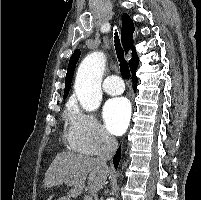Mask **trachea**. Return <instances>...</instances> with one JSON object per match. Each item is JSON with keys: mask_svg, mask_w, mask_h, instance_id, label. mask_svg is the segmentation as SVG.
<instances>
[{"mask_svg": "<svg viewBox=\"0 0 201 200\" xmlns=\"http://www.w3.org/2000/svg\"><path fill=\"white\" fill-rule=\"evenodd\" d=\"M114 38H115L114 42H115L116 54H117V57L119 60L120 72L124 78L129 79L130 78V70L124 59V51L121 47L119 36H118L117 32H115Z\"/></svg>", "mask_w": 201, "mask_h": 200, "instance_id": "trachea-1", "label": "trachea"}]
</instances>
